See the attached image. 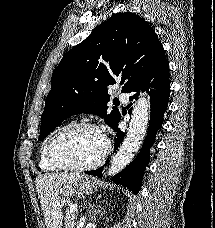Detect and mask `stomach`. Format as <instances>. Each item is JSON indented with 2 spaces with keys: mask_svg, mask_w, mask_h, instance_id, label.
Segmentation results:
<instances>
[{
  "mask_svg": "<svg viewBox=\"0 0 215 228\" xmlns=\"http://www.w3.org/2000/svg\"><path fill=\"white\" fill-rule=\"evenodd\" d=\"M99 182H93L90 178L75 182V184H67L63 186L62 196H74V194H93L94 190L98 188Z\"/></svg>",
  "mask_w": 215,
  "mask_h": 228,
  "instance_id": "0dacf381",
  "label": "stomach"
}]
</instances>
